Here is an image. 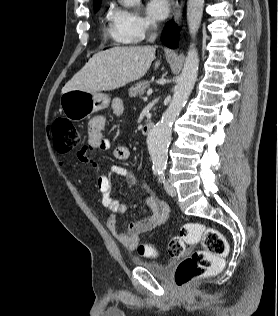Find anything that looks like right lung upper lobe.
I'll use <instances>...</instances> for the list:
<instances>
[{
  "label": "right lung upper lobe",
  "mask_w": 278,
  "mask_h": 316,
  "mask_svg": "<svg viewBox=\"0 0 278 316\" xmlns=\"http://www.w3.org/2000/svg\"><path fill=\"white\" fill-rule=\"evenodd\" d=\"M93 1H94V4H95V3H97V2H99V1H101V0H93Z\"/></svg>",
  "instance_id": "obj_1"
}]
</instances>
